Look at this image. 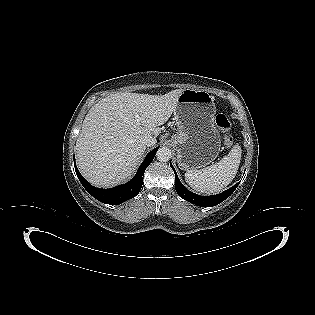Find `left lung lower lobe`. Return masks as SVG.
<instances>
[{
	"instance_id": "1",
	"label": "left lung lower lobe",
	"mask_w": 315,
	"mask_h": 315,
	"mask_svg": "<svg viewBox=\"0 0 315 315\" xmlns=\"http://www.w3.org/2000/svg\"><path fill=\"white\" fill-rule=\"evenodd\" d=\"M171 168L174 170L175 173V189L178 193V195L183 198L186 201H189L191 203H194L198 206L201 207H212L215 206L221 202H223L225 199H227L233 192L234 190L237 188L238 184H235L234 186H232L231 188L225 190L224 192L217 194V195H213V196H200L197 195L195 193L190 192L189 190H187L182 183L180 182L176 171L174 169V167L171 165Z\"/></svg>"
}]
</instances>
